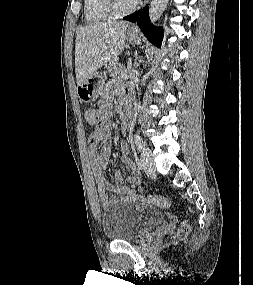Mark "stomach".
<instances>
[{
  "label": "stomach",
  "mask_w": 253,
  "mask_h": 285,
  "mask_svg": "<svg viewBox=\"0 0 253 285\" xmlns=\"http://www.w3.org/2000/svg\"><path fill=\"white\" fill-rule=\"evenodd\" d=\"M126 38L133 45H137L141 41L139 33L131 30L127 32ZM103 84L104 78L100 74L94 73L83 84L78 85L77 95L79 99L86 103L95 101L99 96Z\"/></svg>",
  "instance_id": "0dacf381"
}]
</instances>
